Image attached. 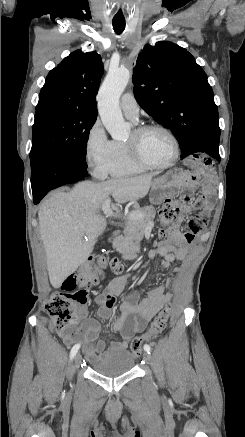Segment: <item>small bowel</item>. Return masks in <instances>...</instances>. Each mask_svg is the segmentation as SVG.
<instances>
[{"label":"small bowel","mask_w":245,"mask_h":437,"mask_svg":"<svg viewBox=\"0 0 245 437\" xmlns=\"http://www.w3.org/2000/svg\"><path fill=\"white\" fill-rule=\"evenodd\" d=\"M188 167L190 175H200L205 180H217L218 172L216 164L209 159L207 154H201L195 150L190 154ZM208 188L206 185L203 187ZM189 197V191L186 192ZM191 206L199 207L202 200L199 198H188ZM208 218L207 211L201 212L189 222L190 232L182 233L180 224L185 219V213H181L175 223L170 225L166 232L167 238L158 243L157 248L149 252L150 258L160 256L163 268H169L171 263L185 255L186 249L194 239V233L200 231L206 224ZM174 271H178L175 268ZM170 283V282H169ZM125 277L113 279L107 288L96 296L98 305L97 314L100 318L112 322V331L119 334L120 339L107 343L105 340H98L99 325L91 319L85 318L83 322L84 333L79 338L65 336L62 338L66 344H71L74 340H81L86 357L90 361H96L107 353L115 350H124L128 346V341L137 334L144 331L147 323L161 310L169 300V294L164 293L162 286L151 288L147 291L142 300H138V294L133 287L125 291L124 302L119 307V315L114 316L112 309L115 304L116 296L124 292ZM82 317L86 316V309L82 308Z\"/></svg>","instance_id":"small-bowel-1"}]
</instances>
